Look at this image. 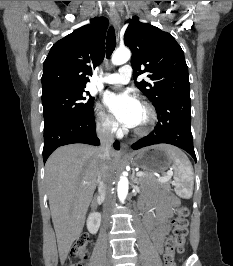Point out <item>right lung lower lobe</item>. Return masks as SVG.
Returning <instances> with one entry per match:
<instances>
[{"mask_svg":"<svg viewBox=\"0 0 233 266\" xmlns=\"http://www.w3.org/2000/svg\"><path fill=\"white\" fill-rule=\"evenodd\" d=\"M72 143L99 145L93 112L89 115L65 119L44 128V163L56 148ZM114 148L119 150L118 141L114 143Z\"/></svg>","mask_w":233,"mask_h":266,"instance_id":"obj_1","label":"right lung lower lobe"}]
</instances>
